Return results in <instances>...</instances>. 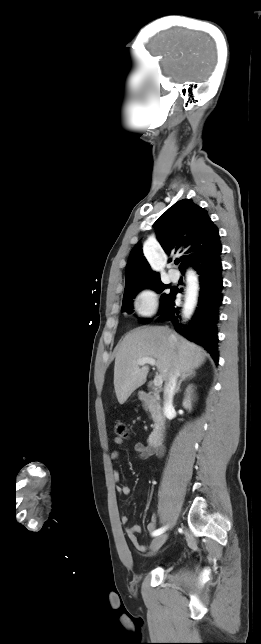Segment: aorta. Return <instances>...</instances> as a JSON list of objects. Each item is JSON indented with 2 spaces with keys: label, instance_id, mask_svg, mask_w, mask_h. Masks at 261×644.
<instances>
[{
  "label": "aorta",
  "instance_id": "762f6f07",
  "mask_svg": "<svg viewBox=\"0 0 261 644\" xmlns=\"http://www.w3.org/2000/svg\"><path fill=\"white\" fill-rule=\"evenodd\" d=\"M197 279L193 272H188L187 274V288H186V297L185 304L183 308L184 316H189L192 312L197 297Z\"/></svg>",
  "mask_w": 261,
  "mask_h": 644
}]
</instances>
